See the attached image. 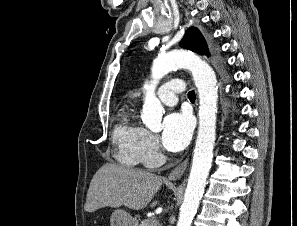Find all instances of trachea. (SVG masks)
<instances>
[{"instance_id": "3493384b", "label": "trachea", "mask_w": 297, "mask_h": 226, "mask_svg": "<svg viewBox=\"0 0 297 226\" xmlns=\"http://www.w3.org/2000/svg\"><path fill=\"white\" fill-rule=\"evenodd\" d=\"M188 98L190 101H195V92L193 90L188 93Z\"/></svg>"}]
</instances>
